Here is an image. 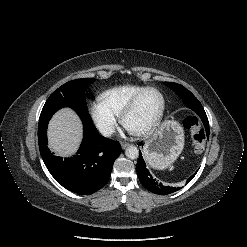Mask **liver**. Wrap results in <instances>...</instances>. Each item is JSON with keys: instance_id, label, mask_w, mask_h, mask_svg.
Segmentation results:
<instances>
[{"instance_id": "6515ba94", "label": "liver", "mask_w": 247, "mask_h": 247, "mask_svg": "<svg viewBox=\"0 0 247 247\" xmlns=\"http://www.w3.org/2000/svg\"><path fill=\"white\" fill-rule=\"evenodd\" d=\"M48 130L49 147L52 151L62 157L76 152L82 138V125L73 110H60L50 121Z\"/></svg>"}]
</instances>
